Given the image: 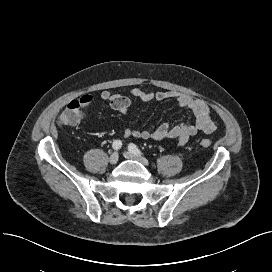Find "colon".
<instances>
[{
  "mask_svg": "<svg viewBox=\"0 0 272 272\" xmlns=\"http://www.w3.org/2000/svg\"><path fill=\"white\" fill-rule=\"evenodd\" d=\"M61 121V120H60ZM199 147L201 148V149H207V148H209L210 147V145H211V142L209 141V140H207V139H202L200 142H199Z\"/></svg>",
  "mask_w": 272,
  "mask_h": 272,
  "instance_id": "5ec220e1",
  "label": "colon"
}]
</instances>
